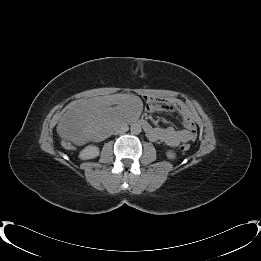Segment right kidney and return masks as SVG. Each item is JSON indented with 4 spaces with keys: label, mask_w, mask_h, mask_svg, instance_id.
I'll use <instances>...</instances> for the list:
<instances>
[{
    "label": "right kidney",
    "mask_w": 261,
    "mask_h": 261,
    "mask_svg": "<svg viewBox=\"0 0 261 261\" xmlns=\"http://www.w3.org/2000/svg\"><path fill=\"white\" fill-rule=\"evenodd\" d=\"M99 155V148L94 145L86 146L79 154V158L82 160L92 159Z\"/></svg>",
    "instance_id": "obj_1"
}]
</instances>
